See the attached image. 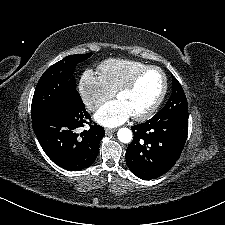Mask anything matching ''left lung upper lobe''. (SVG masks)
Returning <instances> with one entry per match:
<instances>
[{
    "instance_id": "1",
    "label": "left lung upper lobe",
    "mask_w": 225,
    "mask_h": 225,
    "mask_svg": "<svg viewBox=\"0 0 225 225\" xmlns=\"http://www.w3.org/2000/svg\"><path fill=\"white\" fill-rule=\"evenodd\" d=\"M172 94L165 106L154 117V120L188 119V103L182 86L177 79L173 80Z\"/></svg>"
}]
</instances>
